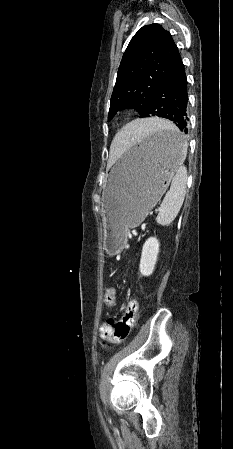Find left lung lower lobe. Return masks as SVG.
Wrapping results in <instances>:
<instances>
[{
    "label": "left lung lower lobe",
    "instance_id": "1",
    "mask_svg": "<svg viewBox=\"0 0 233 449\" xmlns=\"http://www.w3.org/2000/svg\"><path fill=\"white\" fill-rule=\"evenodd\" d=\"M187 104V79L181 60L154 92L144 117L158 116L169 119L181 131L187 133ZM157 139L170 146H178L183 142L182 136L173 134H161Z\"/></svg>",
    "mask_w": 233,
    "mask_h": 449
}]
</instances>
